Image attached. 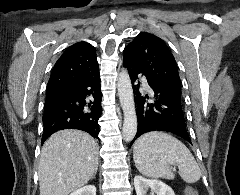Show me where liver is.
I'll list each match as a JSON object with an SVG mask.
<instances>
[{
  "label": "liver",
  "instance_id": "liver-1",
  "mask_svg": "<svg viewBox=\"0 0 240 195\" xmlns=\"http://www.w3.org/2000/svg\"><path fill=\"white\" fill-rule=\"evenodd\" d=\"M96 139L81 129H60L45 141L38 165L40 195H68L98 169Z\"/></svg>",
  "mask_w": 240,
  "mask_h": 195
}]
</instances>
